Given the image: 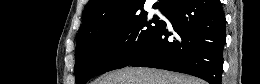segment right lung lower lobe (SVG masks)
Masks as SVG:
<instances>
[{"instance_id":"98d812e1","label":"right lung lower lobe","mask_w":260,"mask_h":84,"mask_svg":"<svg viewBox=\"0 0 260 84\" xmlns=\"http://www.w3.org/2000/svg\"><path fill=\"white\" fill-rule=\"evenodd\" d=\"M163 15L164 22L149 48L130 66L176 71L221 84L225 15L220 0H177Z\"/></svg>"}]
</instances>
